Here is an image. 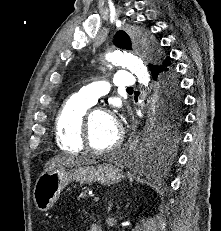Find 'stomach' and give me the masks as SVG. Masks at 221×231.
<instances>
[{"mask_svg": "<svg viewBox=\"0 0 221 231\" xmlns=\"http://www.w3.org/2000/svg\"><path fill=\"white\" fill-rule=\"evenodd\" d=\"M124 178L123 172L111 162L81 165L75 168H58L42 173L36 181L33 200L38 210H49L59 198L62 190L72 181L80 184L99 182L104 185L117 184Z\"/></svg>", "mask_w": 221, "mask_h": 231, "instance_id": "stomach-1", "label": "stomach"}]
</instances>
